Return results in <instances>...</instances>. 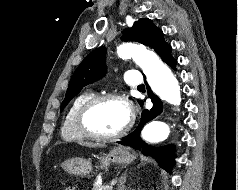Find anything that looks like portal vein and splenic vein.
I'll return each mask as SVG.
<instances>
[{
    "label": "portal vein and splenic vein",
    "instance_id": "portal-vein-and-splenic-vein-1",
    "mask_svg": "<svg viewBox=\"0 0 238 190\" xmlns=\"http://www.w3.org/2000/svg\"><path fill=\"white\" fill-rule=\"evenodd\" d=\"M116 184V181H113L110 183L111 186H114Z\"/></svg>",
    "mask_w": 238,
    "mask_h": 190
}]
</instances>
